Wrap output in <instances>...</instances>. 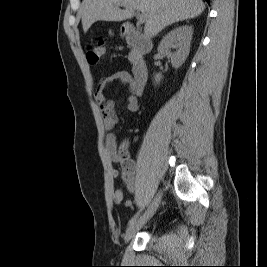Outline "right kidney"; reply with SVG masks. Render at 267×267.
Here are the masks:
<instances>
[{
  "label": "right kidney",
  "mask_w": 267,
  "mask_h": 267,
  "mask_svg": "<svg viewBox=\"0 0 267 267\" xmlns=\"http://www.w3.org/2000/svg\"><path fill=\"white\" fill-rule=\"evenodd\" d=\"M192 34V27L183 25L171 30L160 41L158 52L170 59L175 69L179 68L189 55ZM171 49H176V51L172 52ZM154 78L156 84H158L162 75L156 74Z\"/></svg>",
  "instance_id": "ca27d5eb"
}]
</instances>
